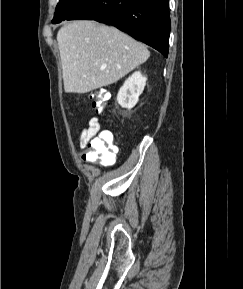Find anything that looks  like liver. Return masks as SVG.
Instances as JSON below:
<instances>
[{
  "label": "liver",
  "mask_w": 243,
  "mask_h": 289,
  "mask_svg": "<svg viewBox=\"0 0 243 289\" xmlns=\"http://www.w3.org/2000/svg\"><path fill=\"white\" fill-rule=\"evenodd\" d=\"M64 90L87 93L117 82L150 56L147 47L115 27L89 20L57 33Z\"/></svg>",
  "instance_id": "6515ba94"
}]
</instances>
